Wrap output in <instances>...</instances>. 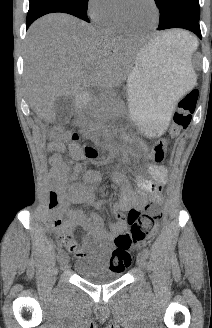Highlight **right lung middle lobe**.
Instances as JSON below:
<instances>
[{"label": "right lung middle lobe", "instance_id": "dd1d6c3e", "mask_svg": "<svg viewBox=\"0 0 212 328\" xmlns=\"http://www.w3.org/2000/svg\"><path fill=\"white\" fill-rule=\"evenodd\" d=\"M31 1L34 0H30V2ZM68 1L75 3L76 5L82 7L83 9H86V7L88 6V0H68Z\"/></svg>", "mask_w": 212, "mask_h": 328}]
</instances>
